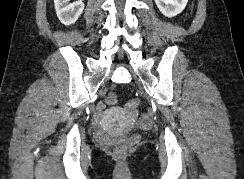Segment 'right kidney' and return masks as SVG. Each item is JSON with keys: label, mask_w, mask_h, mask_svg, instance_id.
I'll return each instance as SVG.
<instances>
[{"label": "right kidney", "mask_w": 244, "mask_h": 179, "mask_svg": "<svg viewBox=\"0 0 244 179\" xmlns=\"http://www.w3.org/2000/svg\"><path fill=\"white\" fill-rule=\"evenodd\" d=\"M69 2L70 0H54L56 14L64 26L75 24L84 10L82 0H77L74 4H69Z\"/></svg>", "instance_id": "1"}]
</instances>
